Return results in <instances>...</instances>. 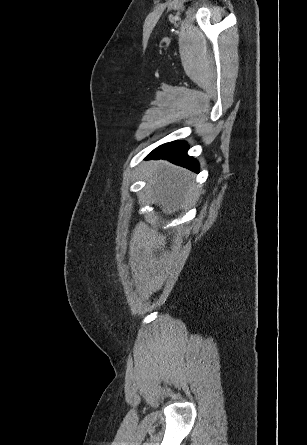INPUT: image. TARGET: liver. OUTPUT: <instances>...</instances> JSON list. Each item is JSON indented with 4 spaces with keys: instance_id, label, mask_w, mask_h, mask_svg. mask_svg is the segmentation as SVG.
Wrapping results in <instances>:
<instances>
[{
    "instance_id": "6515ba94",
    "label": "liver",
    "mask_w": 307,
    "mask_h": 445,
    "mask_svg": "<svg viewBox=\"0 0 307 445\" xmlns=\"http://www.w3.org/2000/svg\"><path fill=\"white\" fill-rule=\"evenodd\" d=\"M154 174L151 188L155 194V200L162 210H177L182 204H188L189 200H196L199 196L198 186L194 180V174L172 166L166 162H154L153 170H149V176Z\"/></svg>"
}]
</instances>
